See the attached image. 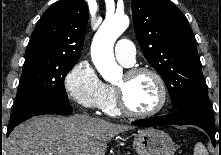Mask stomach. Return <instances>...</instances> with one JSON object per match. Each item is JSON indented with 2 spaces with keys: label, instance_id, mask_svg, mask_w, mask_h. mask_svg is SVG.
Masks as SVG:
<instances>
[{
  "label": "stomach",
  "instance_id": "0dacf381",
  "mask_svg": "<svg viewBox=\"0 0 221 155\" xmlns=\"http://www.w3.org/2000/svg\"><path fill=\"white\" fill-rule=\"evenodd\" d=\"M133 147L138 155H174L175 145L165 132L145 128L134 135Z\"/></svg>",
  "mask_w": 221,
  "mask_h": 155
}]
</instances>
